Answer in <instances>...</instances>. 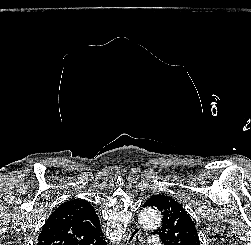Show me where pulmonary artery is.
<instances>
[{"mask_svg":"<svg viewBox=\"0 0 251 245\" xmlns=\"http://www.w3.org/2000/svg\"><path fill=\"white\" fill-rule=\"evenodd\" d=\"M148 244H149V245H161V243L158 241V239H157V238H154V237H152V238H150V239L148 240Z\"/></svg>","mask_w":251,"mask_h":245,"instance_id":"1","label":"pulmonary artery"}]
</instances>
